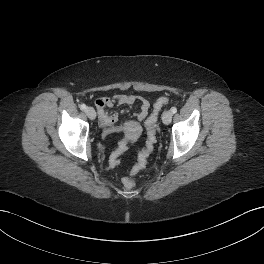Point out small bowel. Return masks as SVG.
Here are the masks:
<instances>
[{
  "instance_id": "1",
  "label": "small bowel",
  "mask_w": 264,
  "mask_h": 264,
  "mask_svg": "<svg viewBox=\"0 0 264 264\" xmlns=\"http://www.w3.org/2000/svg\"><path fill=\"white\" fill-rule=\"evenodd\" d=\"M136 102H139V109L134 114L137 121L142 122L149 114L150 102L143 97H138L132 94H119L114 97L101 96L95 99L94 105L99 117L100 125L105 129L106 135L111 133L126 132L127 129L132 127L131 123H125L118 125L119 113L111 111L116 106H129L131 107ZM129 136L126 134L124 138L119 142L118 147L112 152L110 156V164L115 167L119 164V157L126 151L128 146Z\"/></svg>"
}]
</instances>
